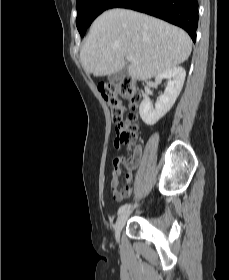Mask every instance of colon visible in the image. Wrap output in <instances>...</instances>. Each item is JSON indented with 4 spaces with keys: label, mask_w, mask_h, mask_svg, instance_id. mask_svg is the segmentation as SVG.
<instances>
[{
    "label": "colon",
    "mask_w": 229,
    "mask_h": 280,
    "mask_svg": "<svg viewBox=\"0 0 229 280\" xmlns=\"http://www.w3.org/2000/svg\"><path fill=\"white\" fill-rule=\"evenodd\" d=\"M106 104L109 106L111 119L115 125V142L130 145L133 143L138 115L135 112L139 92L131 77H124L117 82L101 84L98 87ZM123 101H128L131 111L126 113ZM128 187L112 188L113 191H126Z\"/></svg>",
    "instance_id": "1"
}]
</instances>
